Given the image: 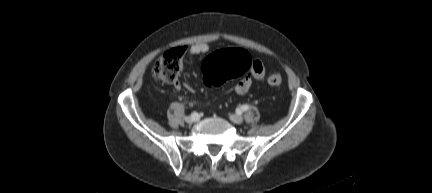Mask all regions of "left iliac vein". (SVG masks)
<instances>
[{"label":"left iliac vein","instance_id":"1","mask_svg":"<svg viewBox=\"0 0 432 193\" xmlns=\"http://www.w3.org/2000/svg\"><path fill=\"white\" fill-rule=\"evenodd\" d=\"M230 119L232 122H234L236 124H241L243 122V117L241 115H238V114L231 115Z\"/></svg>","mask_w":432,"mask_h":193}]
</instances>
